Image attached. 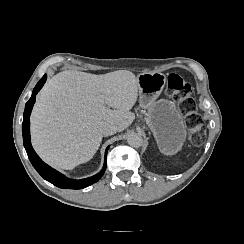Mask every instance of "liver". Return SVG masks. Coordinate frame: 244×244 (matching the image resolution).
Segmentation results:
<instances>
[{"mask_svg":"<svg viewBox=\"0 0 244 244\" xmlns=\"http://www.w3.org/2000/svg\"><path fill=\"white\" fill-rule=\"evenodd\" d=\"M137 97V78L130 71H62L38 95L31 114L32 145L44 162L72 170L93 158L103 125L114 123L121 132L132 124L130 109Z\"/></svg>","mask_w":244,"mask_h":244,"instance_id":"6515ba94","label":"liver"}]
</instances>
